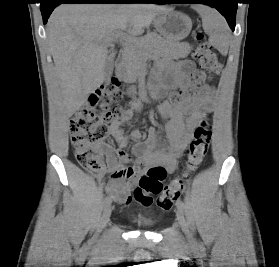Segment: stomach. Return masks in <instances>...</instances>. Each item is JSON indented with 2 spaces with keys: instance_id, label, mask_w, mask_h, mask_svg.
I'll list each match as a JSON object with an SVG mask.
<instances>
[{
  "instance_id": "1",
  "label": "stomach",
  "mask_w": 279,
  "mask_h": 267,
  "mask_svg": "<svg viewBox=\"0 0 279 267\" xmlns=\"http://www.w3.org/2000/svg\"><path fill=\"white\" fill-rule=\"evenodd\" d=\"M154 25L160 35L174 42L186 38L192 28L189 16L173 9L157 16Z\"/></svg>"
}]
</instances>
